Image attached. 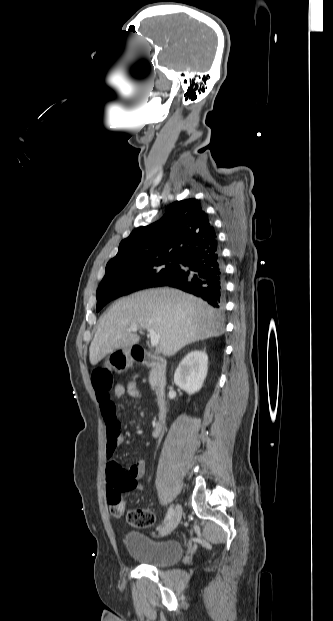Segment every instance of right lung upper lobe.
<instances>
[{
  "label": "right lung upper lobe",
  "instance_id": "cb5924a9",
  "mask_svg": "<svg viewBox=\"0 0 333 621\" xmlns=\"http://www.w3.org/2000/svg\"><path fill=\"white\" fill-rule=\"evenodd\" d=\"M216 243V233L200 201L184 199L170 204L156 222L136 228L121 241L117 255L107 265L168 256L183 258Z\"/></svg>",
  "mask_w": 333,
  "mask_h": 621
}]
</instances>
